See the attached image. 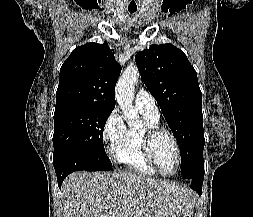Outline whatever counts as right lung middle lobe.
Instances as JSON below:
<instances>
[{
	"label": "right lung middle lobe",
	"mask_w": 253,
	"mask_h": 217,
	"mask_svg": "<svg viewBox=\"0 0 253 217\" xmlns=\"http://www.w3.org/2000/svg\"><path fill=\"white\" fill-rule=\"evenodd\" d=\"M111 109L82 104L56 106L54 113V157L68 152L86 156L93 170H111L103 145V130Z\"/></svg>",
	"instance_id": "right-lung-middle-lobe-1"
}]
</instances>
